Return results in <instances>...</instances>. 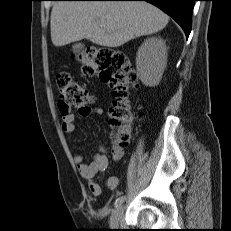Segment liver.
I'll use <instances>...</instances> for the list:
<instances>
[{"label": "liver", "instance_id": "obj_1", "mask_svg": "<svg viewBox=\"0 0 231 231\" xmlns=\"http://www.w3.org/2000/svg\"><path fill=\"white\" fill-rule=\"evenodd\" d=\"M168 22L165 13L147 2L59 1L51 11V40L56 47L81 39L119 47L164 29Z\"/></svg>", "mask_w": 231, "mask_h": 231}]
</instances>
